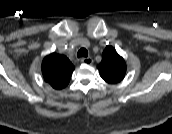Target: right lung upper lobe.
<instances>
[{
  "label": "right lung upper lobe",
  "instance_id": "1",
  "mask_svg": "<svg viewBox=\"0 0 172 134\" xmlns=\"http://www.w3.org/2000/svg\"><path fill=\"white\" fill-rule=\"evenodd\" d=\"M73 70L74 66L70 60L66 56L57 53L46 56L42 62L44 80L54 89L66 87L70 81Z\"/></svg>",
  "mask_w": 172,
  "mask_h": 134
}]
</instances>
